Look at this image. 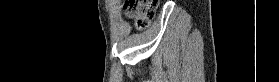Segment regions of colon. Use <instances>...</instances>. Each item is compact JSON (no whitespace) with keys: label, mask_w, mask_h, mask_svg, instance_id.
I'll list each match as a JSON object with an SVG mask.
<instances>
[{"label":"colon","mask_w":279,"mask_h":82,"mask_svg":"<svg viewBox=\"0 0 279 82\" xmlns=\"http://www.w3.org/2000/svg\"><path fill=\"white\" fill-rule=\"evenodd\" d=\"M158 0H124V15L134 25L145 28L154 16Z\"/></svg>","instance_id":"5ec220e1"}]
</instances>
